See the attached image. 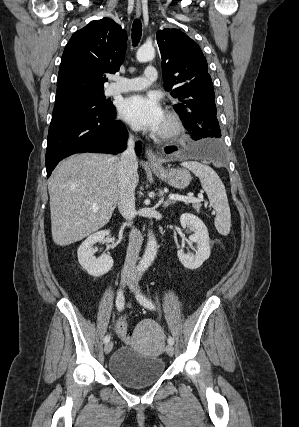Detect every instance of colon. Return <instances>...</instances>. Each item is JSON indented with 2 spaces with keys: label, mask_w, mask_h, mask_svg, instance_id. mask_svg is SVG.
I'll return each instance as SVG.
<instances>
[{
  "label": "colon",
  "mask_w": 299,
  "mask_h": 427,
  "mask_svg": "<svg viewBox=\"0 0 299 427\" xmlns=\"http://www.w3.org/2000/svg\"><path fill=\"white\" fill-rule=\"evenodd\" d=\"M116 329H117L118 334L123 335L125 337H129L130 334H129V331L127 329L125 319L122 318L117 322Z\"/></svg>",
  "instance_id": "1"
}]
</instances>
